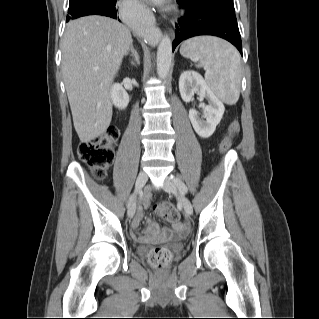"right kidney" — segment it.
Returning <instances> with one entry per match:
<instances>
[{"mask_svg":"<svg viewBox=\"0 0 319 319\" xmlns=\"http://www.w3.org/2000/svg\"><path fill=\"white\" fill-rule=\"evenodd\" d=\"M111 100L118 109H125L129 103V95L120 84H114L110 92Z\"/></svg>","mask_w":319,"mask_h":319,"instance_id":"1","label":"right kidney"}]
</instances>
